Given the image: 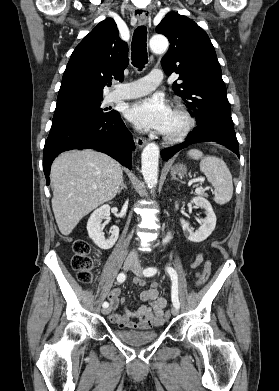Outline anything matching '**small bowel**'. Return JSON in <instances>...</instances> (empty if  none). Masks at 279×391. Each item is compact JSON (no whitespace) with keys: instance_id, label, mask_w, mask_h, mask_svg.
Listing matches in <instances>:
<instances>
[{"instance_id":"small-bowel-1","label":"small bowel","mask_w":279,"mask_h":391,"mask_svg":"<svg viewBox=\"0 0 279 391\" xmlns=\"http://www.w3.org/2000/svg\"><path fill=\"white\" fill-rule=\"evenodd\" d=\"M202 261L203 254L199 253L191 266L196 267ZM134 283L140 287L145 285V281L141 279H135ZM120 293L121 290L119 288H114L108 296L112 310L110 321L113 324L120 328L141 330L150 329L162 324L167 300L165 297L159 295L156 284H152L150 288L141 294V298L149 304L143 305L136 310H131L125 305L122 312L116 311L120 304H125V300L120 297ZM132 319H136L138 322H133Z\"/></svg>"}]
</instances>
